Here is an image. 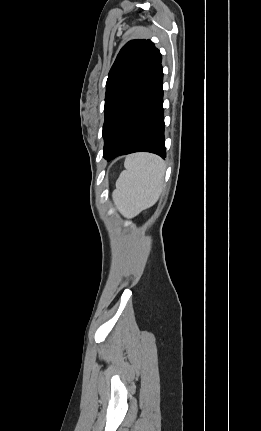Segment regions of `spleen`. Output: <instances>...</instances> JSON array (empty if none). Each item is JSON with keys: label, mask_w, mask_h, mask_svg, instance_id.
<instances>
[{"label": "spleen", "mask_w": 261, "mask_h": 431, "mask_svg": "<svg viewBox=\"0 0 261 431\" xmlns=\"http://www.w3.org/2000/svg\"><path fill=\"white\" fill-rule=\"evenodd\" d=\"M124 165L113 199L122 214L135 216L157 202L163 188L164 162L155 155L138 153L126 157Z\"/></svg>", "instance_id": "spleen-1"}]
</instances>
